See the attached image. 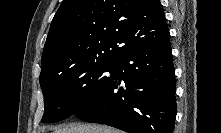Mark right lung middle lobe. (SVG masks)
<instances>
[{"instance_id":"obj_1","label":"right lung middle lobe","mask_w":221,"mask_h":133,"mask_svg":"<svg viewBox=\"0 0 221 133\" xmlns=\"http://www.w3.org/2000/svg\"><path fill=\"white\" fill-rule=\"evenodd\" d=\"M110 63H78L55 66L40 76L45 112L42 122H57L75 112L102 87Z\"/></svg>"}]
</instances>
